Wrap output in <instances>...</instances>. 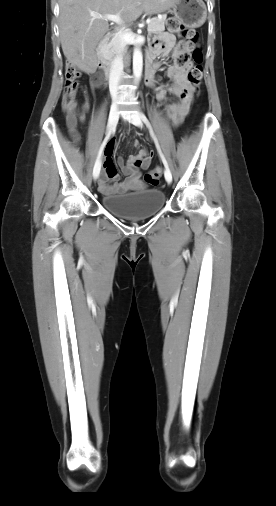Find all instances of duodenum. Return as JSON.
<instances>
[{
  "instance_id": "410a0bca",
  "label": "duodenum",
  "mask_w": 276,
  "mask_h": 506,
  "mask_svg": "<svg viewBox=\"0 0 276 506\" xmlns=\"http://www.w3.org/2000/svg\"><path fill=\"white\" fill-rule=\"evenodd\" d=\"M111 37V34H107L101 41L99 46V59H98V66L101 71L104 72L105 75L109 76L112 71V63L111 61L105 56V47ZM151 62L150 58L146 55V72H145V78L150 77L149 73V63ZM146 81V79H145Z\"/></svg>"
}]
</instances>
